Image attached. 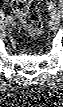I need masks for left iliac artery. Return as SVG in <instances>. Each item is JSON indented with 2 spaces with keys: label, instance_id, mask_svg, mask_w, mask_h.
Returning a JSON list of instances; mask_svg holds the SVG:
<instances>
[{
  "label": "left iliac artery",
  "instance_id": "obj_1",
  "mask_svg": "<svg viewBox=\"0 0 63 107\" xmlns=\"http://www.w3.org/2000/svg\"><path fill=\"white\" fill-rule=\"evenodd\" d=\"M54 6H55L54 3H52V2L49 3V8H50V9H54Z\"/></svg>",
  "mask_w": 63,
  "mask_h": 107
}]
</instances>
